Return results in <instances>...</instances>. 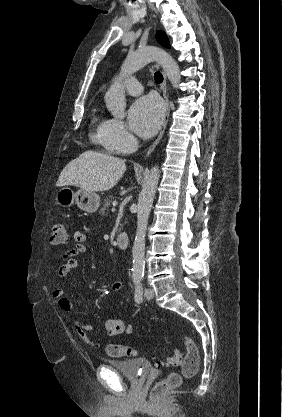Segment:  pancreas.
<instances>
[{"label":"pancreas","instance_id":"1","mask_svg":"<svg viewBox=\"0 0 282 417\" xmlns=\"http://www.w3.org/2000/svg\"><path fill=\"white\" fill-rule=\"evenodd\" d=\"M112 198L113 196H109V198H104L103 209H101L100 213H104V211H108V206H110L112 202ZM121 231H122V227L118 229V233H121Z\"/></svg>","mask_w":282,"mask_h":417}]
</instances>
